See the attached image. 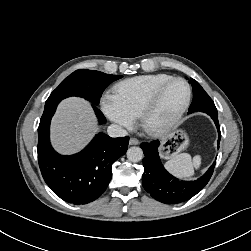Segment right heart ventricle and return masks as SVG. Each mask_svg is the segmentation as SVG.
I'll return each mask as SVG.
<instances>
[{
  "mask_svg": "<svg viewBox=\"0 0 251 251\" xmlns=\"http://www.w3.org/2000/svg\"><path fill=\"white\" fill-rule=\"evenodd\" d=\"M171 78L172 76L167 74L136 76L118 83L114 87V95L120 104L136 118L153 91Z\"/></svg>",
  "mask_w": 251,
  "mask_h": 251,
  "instance_id": "1",
  "label": "right heart ventricle"
}]
</instances>
